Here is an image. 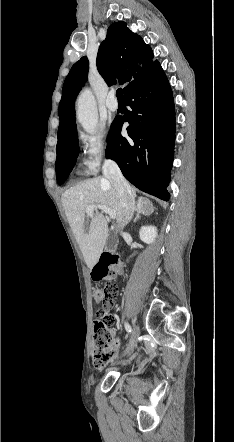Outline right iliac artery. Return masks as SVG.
<instances>
[{
    "instance_id": "1",
    "label": "right iliac artery",
    "mask_w": 234,
    "mask_h": 442,
    "mask_svg": "<svg viewBox=\"0 0 234 442\" xmlns=\"http://www.w3.org/2000/svg\"><path fill=\"white\" fill-rule=\"evenodd\" d=\"M124 326H125V329H126V331H127L128 333H131V332H132V328H131V326H130L128 323L125 322Z\"/></svg>"
}]
</instances>
